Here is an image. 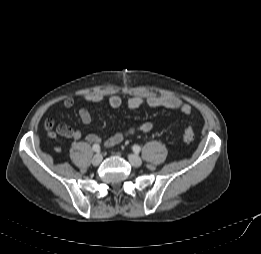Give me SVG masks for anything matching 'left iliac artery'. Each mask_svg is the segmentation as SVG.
I'll return each instance as SVG.
<instances>
[{
  "label": "left iliac artery",
  "instance_id": "left-iliac-artery-1",
  "mask_svg": "<svg viewBox=\"0 0 261 254\" xmlns=\"http://www.w3.org/2000/svg\"><path fill=\"white\" fill-rule=\"evenodd\" d=\"M132 149H133V151H134L135 153H139V152L141 151V148H140V146H138V145H134V146L132 147Z\"/></svg>",
  "mask_w": 261,
  "mask_h": 254
}]
</instances>
